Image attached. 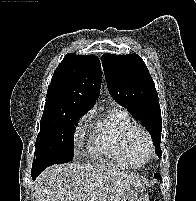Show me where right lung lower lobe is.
I'll use <instances>...</instances> for the list:
<instances>
[{
  "label": "right lung lower lobe",
  "instance_id": "right-lung-lower-lobe-1",
  "mask_svg": "<svg viewBox=\"0 0 196 201\" xmlns=\"http://www.w3.org/2000/svg\"><path fill=\"white\" fill-rule=\"evenodd\" d=\"M39 172H34L32 171L31 175H32V179L35 180V178L39 175Z\"/></svg>",
  "mask_w": 196,
  "mask_h": 201
}]
</instances>
